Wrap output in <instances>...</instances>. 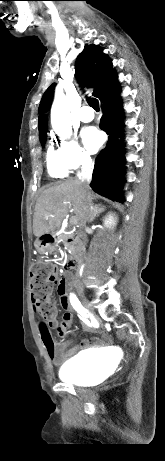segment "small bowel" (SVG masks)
<instances>
[{"instance_id": "obj_1", "label": "small bowel", "mask_w": 165, "mask_h": 461, "mask_svg": "<svg viewBox=\"0 0 165 461\" xmlns=\"http://www.w3.org/2000/svg\"><path fill=\"white\" fill-rule=\"evenodd\" d=\"M67 286H68V283L65 277L57 278V283H56V290L58 291L57 297L58 299H60L61 306L65 310L62 316V321L58 322L56 314H55L54 316L46 319L44 322L40 324L41 338H42L44 348L50 360L55 364L73 357L79 350L86 349L90 346L97 345L99 343V341L95 338L85 339L79 345L72 346V347H69L66 343L54 342L52 346L47 345L45 343L43 339V334H42L44 326H47L48 328L57 329L58 335L63 337L69 333L70 328L73 324V315L71 313L72 304L68 298L69 292L67 291ZM84 327L87 330H91V326L87 323H85Z\"/></svg>"}]
</instances>
